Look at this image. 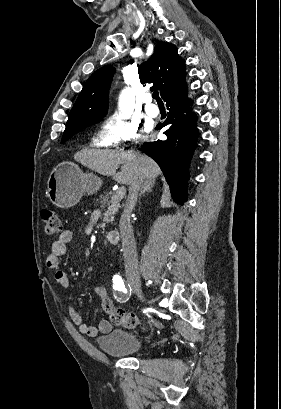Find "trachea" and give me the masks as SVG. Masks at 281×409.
Returning a JSON list of instances; mask_svg holds the SVG:
<instances>
[{"label": "trachea", "instance_id": "1", "mask_svg": "<svg viewBox=\"0 0 281 409\" xmlns=\"http://www.w3.org/2000/svg\"><path fill=\"white\" fill-rule=\"evenodd\" d=\"M152 98L155 99L158 103H162V100L159 97V92H153Z\"/></svg>", "mask_w": 281, "mask_h": 409}]
</instances>
